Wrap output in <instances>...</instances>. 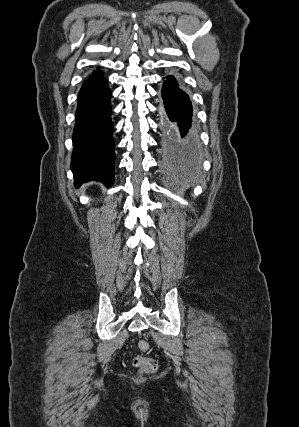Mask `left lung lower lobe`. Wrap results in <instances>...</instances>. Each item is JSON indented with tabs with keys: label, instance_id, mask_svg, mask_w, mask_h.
Here are the masks:
<instances>
[{
	"label": "left lung lower lobe",
	"instance_id": "left-lung-lower-lobe-1",
	"mask_svg": "<svg viewBox=\"0 0 299 427\" xmlns=\"http://www.w3.org/2000/svg\"><path fill=\"white\" fill-rule=\"evenodd\" d=\"M159 108L161 147L170 159L191 157L198 151V139L192 127V104L173 76H167L161 90Z\"/></svg>",
	"mask_w": 299,
	"mask_h": 427
}]
</instances>
